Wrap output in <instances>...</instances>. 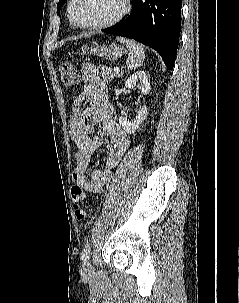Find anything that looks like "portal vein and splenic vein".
Here are the masks:
<instances>
[{
	"mask_svg": "<svg viewBox=\"0 0 239 303\" xmlns=\"http://www.w3.org/2000/svg\"><path fill=\"white\" fill-rule=\"evenodd\" d=\"M113 71H114L115 73H119V68H118V67H115Z\"/></svg>",
	"mask_w": 239,
	"mask_h": 303,
	"instance_id": "portal-vein-and-splenic-vein-1",
	"label": "portal vein and splenic vein"
}]
</instances>
